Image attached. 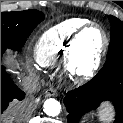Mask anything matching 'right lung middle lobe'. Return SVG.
Returning a JSON list of instances; mask_svg holds the SVG:
<instances>
[{
  "label": "right lung middle lobe",
  "instance_id": "obj_1",
  "mask_svg": "<svg viewBox=\"0 0 123 123\" xmlns=\"http://www.w3.org/2000/svg\"><path fill=\"white\" fill-rule=\"evenodd\" d=\"M44 20V14L30 9L1 12V56L7 48L20 51L33 29Z\"/></svg>",
  "mask_w": 123,
  "mask_h": 123
}]
</instances>
